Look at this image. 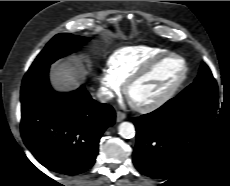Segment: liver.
<instances>
[{"label": "liver", "mask_w": 230, "mask_h": 186, "mask_svg": "<svg viewBox=\"0 0 230 186\" xmlns=\"http://www.w3.org/2000/svg\"><path fill=\"white\" fill-rule=\"evenodd\" d=\"M80 74H84L83 67L78 64L63 62L54 66L52 80L60 87L71 88L76 85Z\"/></svg>", "instance_id": "6515ba94"}]
</instances>
